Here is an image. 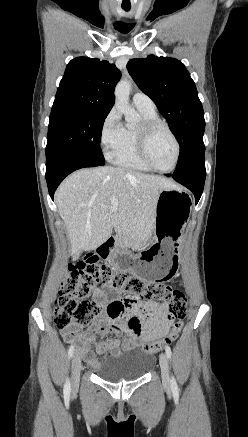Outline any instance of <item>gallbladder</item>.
Segmentation results:
<instances>
[{"label": "gallbladder", "instance_id": "gallbladder-1", "mask_svg": "<svg viewBox=\"0 0 248 437\" xmlns=\"http://www.w3.org/2000/svg\"><path fill=\"white\" fill-rule=\"evenodd\" d=\"M79 256H80V254L78 253V254H76V255H74V259L76 260V259H78L79 258Z\"/></svg>", "mask_w": 248, "mask_h": 437}]
</instances>
